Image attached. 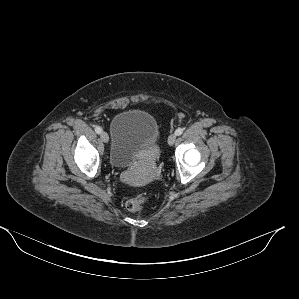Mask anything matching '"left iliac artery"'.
Returning a JSON list of instances; mask_svg holds the SVG:
<instances>
[{"label":"left iliac artery","instance_id":"left-iliac-artery-1","mask_svg":"<svg viewBox=\"0 0 299 299\" xmlns=\"http://www.w3.org/2000/svg\"><path fill=\"white\" fill-rule=\"evenodd\" d=\"M183 133V129H181V128H178L176 131H175V134L176 135H181Z\"/></svg>","mask_w":299,"mask_h":299}]
</instances>
